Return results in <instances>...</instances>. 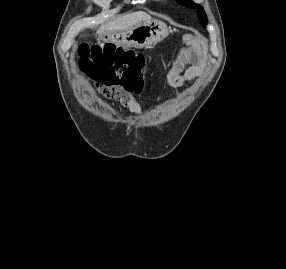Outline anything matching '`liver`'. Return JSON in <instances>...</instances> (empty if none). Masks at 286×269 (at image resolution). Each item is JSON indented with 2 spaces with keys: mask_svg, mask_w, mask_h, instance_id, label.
Masks as SVG:
<instances>
[{
  "mask_svg": "<svg viewBox=\"0 0 286 269\" xmlns=\"http://www.w3.org/2000/svg\"><path fill=\"white\" fill-rule=\"evenodd\" d=\"M145 21L146 22L152 21L151 16L145 12H134L131 14L119 16L117 19L110 22L109 24L102 26L98 30V32L104 33V32L124 31Z\"/></svg>",
  "mask_w": 286,
  "mask_h": 269,
  "instance_id": "liver-1",
  "label": "liver"
}]
</instances>
